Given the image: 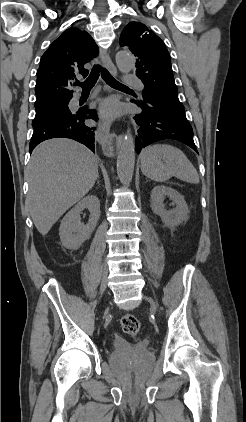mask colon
Returning a JSON list of instances; mask_svg holds the SVG:
<instances>
[{"instance_id":"1","label":"colon","mask_w":246,"mask_h":422,"mask_svg":"<svg viewBox=\"0 0 246 422\" xmlns=\"http://www.w3.org/2000/svg\"><path fill=\"white\" fill-rule=\"evenodd\" d=\"M121 328L124 333L135 336L140 330V321L134 315L127 314L121 318Z\"/></svg>"}]
</instances>
